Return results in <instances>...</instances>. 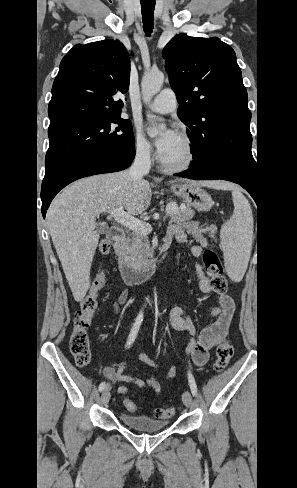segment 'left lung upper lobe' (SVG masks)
I'll return each mask as SVG.
<instances>
[{"label":"left lung upper lobe","instance_id":"1","mask_svg":"<svg viewBox=\"0 0 297 488\" xmlns=\"http://www.w3.org/2000/svg\"><path fill=\"white\" fill-rule=\"evenodd\" d=\"M166 71L188 127L197 165L215 158L256 167L251 153V112L234 50L217 37L176 35L164 48Z\"/></svg>","mask_w":297,"mask_h":488}]
</instances>
